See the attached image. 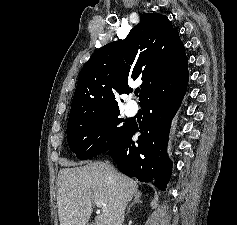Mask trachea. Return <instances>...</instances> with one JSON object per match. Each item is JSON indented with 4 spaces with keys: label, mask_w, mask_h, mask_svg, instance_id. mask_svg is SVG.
I'll use <instances>...</instances> for the list:
<instances>
[{
    "label": "trachea",
    "mask_w": 237,
    "mask_h": 225,
    "mask_svg": "<svg viewBox=\"0 0 237 225\" xmlns=\"http://www.w3.org/2000/svg\"><path fill=\"white\" fill-rule=\"evenodd\" d=\"M138 93H139V90H137V91L135 92L136 95H138Z\"/></svg>",
    "instance_id": "3493384b"
}]
</instances>
